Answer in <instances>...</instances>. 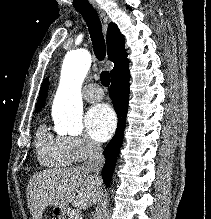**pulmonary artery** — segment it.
<instances>
[{"mask_svg": "<svg viewBox=\"0 0 211 219\" xmlns=\"http://www.w3.org/2000/svg\"><path fill=\"white\" fill-rule=\"evenodd\" d=\"M104 96V93L99 85L97 84H89L85 88L84 98L89 102H97L100 101Z\"/></svg>", "mask_w": 211, "mask_h": 219, "instance_id": "pulmonary-artery-1", "label": "pulmonary artery"}]
</instances>
